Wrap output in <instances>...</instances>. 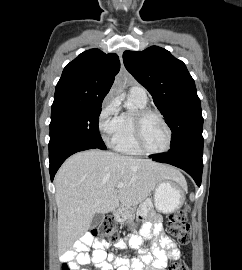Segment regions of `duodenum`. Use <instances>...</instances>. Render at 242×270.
<instances>
[{
  "mask_svg": "<svg viewBox=\"0 0 242 270\" xmlns=\"http://www.w3.org/2000/svg\"><path fill=\"white\" fill-rule=\"evenodd\" d=\"M110 216L113 217V218H117L119 216V211H116V210L112 211L110 213Z\"/></svg>",
  "mask_w": 242,
  "mask_h": 270,
  "instance_id": "duodenum-1",
  "label": "duodenum"
}]
</instances>
